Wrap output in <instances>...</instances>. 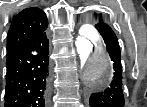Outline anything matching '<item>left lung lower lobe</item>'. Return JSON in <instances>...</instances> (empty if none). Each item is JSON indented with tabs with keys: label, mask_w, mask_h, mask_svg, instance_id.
<instances>
[{
	"label": "left lung lower lobe",
	"mask_w": 147,
	"mask_h": 107,
	"mask_svg": "<svg viewBox=\"0 0 147 107\" xmlns=\"http://www.w3.org/2000/svg\"><path fill=\"white\" fill-rule=\"evenodd\" d=\"M113 63V77L104 86H90L87 95L89 107H124L120 47L108 24L96 26Z\"/></svg>",
	"instance_id": "0a47b994"
}]
</instances>
